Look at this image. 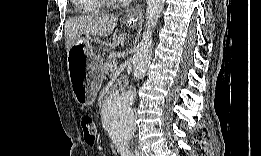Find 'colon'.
<instances>
[{"label": "colon", "mask_w": 261, "mask_h": 156, "mask_svg": "<svg viewBox=\"0 0 261 156\" xmlns=\"http://www.w3.org/2000/svg\"><path fill=\"white\" fill-rule=\"evenodd\" d=\"M81 129L83 131L84 140L88 145H93L96 141V124L92 116L83 115L80 119Z\"/></svg>", "instance_id": "1"}]
</instances>
